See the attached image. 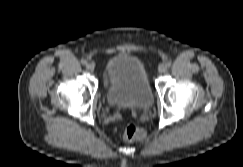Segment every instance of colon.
Wrapping results in <instances>:
<instances>
[{"mask_svg": "<svg viewBox=\"0 0 243 167\" xmlns=\"http://www.w3.org/2000/svg\"><path fill=\"white\" fill-rule=\"evenodd\" d=\"M145 137V131L135 124H129L126 126L124 131V139L126 141L132 142L136 140H141Z\"/></svg>", "mask_w": 243, "mask_h": 167, "instance_id": "obj_1", "label": "colon"}]
</instances>
